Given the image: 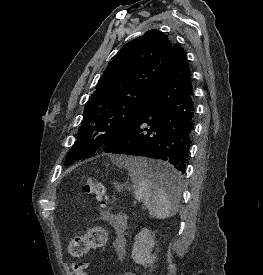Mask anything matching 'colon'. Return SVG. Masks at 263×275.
Returning a JSON list of instances; mask_svg holds the SVG:
<instances>
[{
  "mask_svg": "<svg viewBox=\"0 0 263 275\" xmlns=\"http://www.w3.org/2000/svg\"><path fill=\"white\" fill-rule=\"evenodd\" d=\"M84 192L95 197L101 204L105 203L106 191L104 184L94 178H90L84 185ZM108 240V233L102 227H95L86 234L74 237L69 243V253L74 257H83L92 248L102 247ZM88 263L84 261L75 262L73 265L74 275H87ZM124 275H135L127 272Z\"/></svg>",
  "mask_w": 263,
  "mask_h": 275,
  "instance_id": "5ec220e1",
  "label": "colon"
}]
</instances>
